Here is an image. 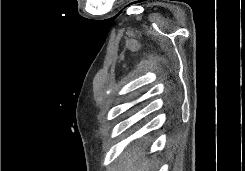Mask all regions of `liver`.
I'll list each match as a JSON object with an SVG mask.
<instances>
[{"mask_svg":"<svg viewBox=\"0 0 245 171\" xmlns=\"http://www.w3.org/2000/svg\"><path fill=\"white\" fill-rule=\"evenodd\" d=\"M151 165L142 153L132 152L124 155L120 171H150Z\"/></svg>","mask_w":245,"mask_h":171,"instance_id":"1","label":"liver"}]
</instances>
